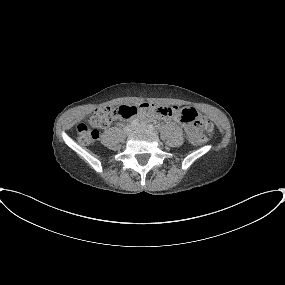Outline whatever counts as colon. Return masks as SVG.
Segmentation results:
<instances>
[{"label":"colon","instance_id":"5ec220e1","mask_svg":"<svg viewBox=\"0 0 285 285\" xmlns=\"http://www.w3.org/2000/svg\"><path fill=\"white\" fill-rule=\"evenodd\" d=\"M150 113H158L166 117L179 119L187 126L188 138L192 143H200L202 141L201 129L211 131L213 128L211 122L194 109L142 103L122 105L116 110L110 107L97 108L86 120L78 124V139L82 144H89L99 137L100 130L109 126L115 117L128 119L139 114Z\"/></svg>","mask_w":285,"mask_h":285}]
</instances>
